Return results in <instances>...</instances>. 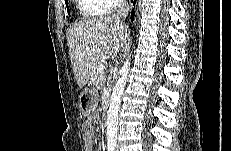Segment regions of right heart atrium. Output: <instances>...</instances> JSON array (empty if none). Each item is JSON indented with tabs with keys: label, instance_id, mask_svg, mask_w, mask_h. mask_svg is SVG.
<instances>
[{
	"label": "right heart atrium",
	"instance_id": "obj_1",
	"mask_svg": "<svg viewBox=\"0 0 231 151\" xmlns=\"http://www.w3.org/2000/svg\"><path fill=\"white\" fill-rule=\"evenodd\" d=\"M102 2L104 4L105 12L116 11L121 5V1L119 0H103Z\"/></svg>",
	"mask_w": 231,
	"mask_h": 151
}]
</instances>
